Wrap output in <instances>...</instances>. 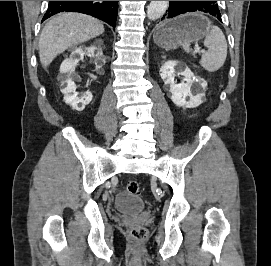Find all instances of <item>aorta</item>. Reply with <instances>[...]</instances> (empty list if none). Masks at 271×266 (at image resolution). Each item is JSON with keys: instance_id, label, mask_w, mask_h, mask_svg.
I'll return each instance as SVG.
<instances>
[{"instance_id": "1", "label": "aorta", "mask_w": 271, "mask_h": 266, "mask_svg": "<svg viewBox=\"0 0 271 266\" xmlns=\"http://www.w3.org/2000/svg\"><path fill=\"white\" fill-rule=\"evenodd\" d=\"M169 1H151L147 9V17L150 20L161 18L168 8Z\"/></svg>"}]
</instances>
